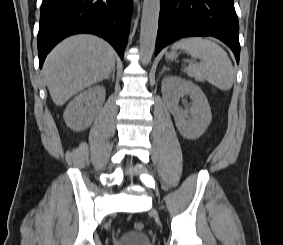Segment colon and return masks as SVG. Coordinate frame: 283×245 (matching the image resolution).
I'll list each match as a JSON object with an SVG mask.
<instances>
[{
	"label": "colon",
	"instance_id": "1",
	"mask_svg": "<svg viewBox=\"0 0 283 245\" xmlns=\"http://www.w3.org/2000/svg\"><path fill=\"white\" fill-rule=\"evenodd\" d=\"M134 228L137 230V231H142L144 229V224L143 222H140V221H137L134 223Z\"/></svg>",
	"mask_w": 283,
	"mask_h": 245
}]
</instances>
